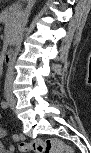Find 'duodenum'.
I'll return each mask as SVG.
<instances>
[{
	"label": "duodenum",
	"mask_w": 91,
	"mask_h": 153,
	"mask_svg": "<svg viewBox=\"0 0 91 153\" xmlns=\"http://www.w3.org/2000/svg\"><path fill=\"white\" fill-rule=\"evenodd\" d=\"M16 56L15 49H9L4 53L3 60L6 65H10Z\"/></svg>",
	"instance_id": "obj_1"
}]
</instances>
